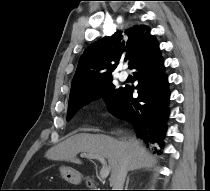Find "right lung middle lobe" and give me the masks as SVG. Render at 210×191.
Instances as JSON below:
<instances>
[{
  "label": "right lung middle lobe",
  "instance_id": "dd1d6c3e",
  "mask_svg": "<svg viewBox=\"0 0 210 191\" xmlns=\"http://www.w3.org/2000/svg\"><path fill=\"white\" fill-rule=\"evenodd\" d=\"M112 78L108 79L107 81L103 82L101 85L96 87L95 89L91 90L90 92L75 97L69 100V107H68V114H67V121H69L76 112L82 108L84 105L90 103L99 98H104L105 101L108 103V106L116 99L118 94L122 91L123 87L116 88L115 85L112 83Z\"/></svg>",
  "mask_w": 210,
  "mask_h": 191
}]
</instances>
